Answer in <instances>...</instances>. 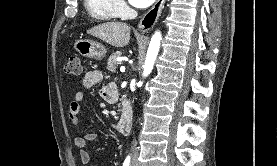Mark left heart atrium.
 <instances>
[{
  "mask_svg": "<svg viewBox=\"0 0 277 166\" xmlns=\"http://www.w3.org/2000/svg\"><path fill=\"white\" fill-rule=\"evenodd\" d=\"M155 0H129V2L137 8H146L150 6Z\"/></svg>",
  "mask_w": 277,
  "mask_h": 166,
  "instance_id": "1",
  "label": "left heart atrium"
}]
</instances>
